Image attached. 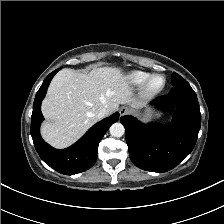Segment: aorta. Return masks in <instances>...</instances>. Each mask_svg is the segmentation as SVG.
Listing matches in <instances>:
<instances>
[{
	"label": "aorta",
	"instance_id": "762f6f07",
	"mask_svg": "<svg viewBox=\"0 0 224 224\" xmlns=\"http://www.w3.org/2000/svg\"><path fill=\"white\" fill-rule=\"evenodd\" d=\"M124 132H125L124 126L119 122L112 124L110 127V134L113 137H121L124 135Z\"/></svg>",
	"mask_w": 224,
	"mask_h": 224
}]
</instances>
